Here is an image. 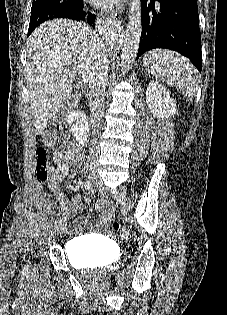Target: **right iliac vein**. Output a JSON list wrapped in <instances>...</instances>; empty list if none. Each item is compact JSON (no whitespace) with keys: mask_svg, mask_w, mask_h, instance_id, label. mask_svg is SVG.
Returning <instances> with one entry per match:
<instances>
[{"mask_svg":"<svg viewBox=\"0 0 227 315\" xmlns=\"http://www.w3.org/2000/svg\"><path fill=\"white\" fill-rule=\"evenodd\" d=\"M88 179L90 180V181H93V182H95L96 180H97V173H96V171L95 170H90L89 172H88ZM67 223H61L59 226H58V228H57V232L58 233H64L66 230H67Z\"/></svg>","mask_w":227,"mask_h":315,"instance_id":"63e3f726","label":"right iliac vein"}]
</instances>
